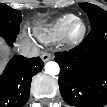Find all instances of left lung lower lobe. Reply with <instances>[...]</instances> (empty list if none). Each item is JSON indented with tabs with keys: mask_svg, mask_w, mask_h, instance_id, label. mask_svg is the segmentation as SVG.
<instances>
[{
	"mask_svg": "<svg viewBox=\"0 0 107 107\" xmlns=\"http://www.w3.org/2000/svg\"><path fill=\"white\" fill-rule=\"evenodd\" d=\"M60 66L59 87L74 107H102L107 103V21L90 31L74 49L55 53Z\"/></svg>",
	"mask_w": 107,
	"mask_h": 107,
	"instance_id": "obj_1",
	"label": "left lung lower lobe"
}]
</instances>
